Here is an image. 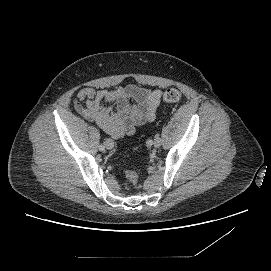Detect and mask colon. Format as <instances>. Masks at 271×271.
I'll return each instance as SVG.
<instances>
[{"instance_id":"1","label":"colon","mask_w":271,"mask_h":271,"mask_svg":"<svg viewBox=\"0 0 271 271\" xmlns=\"http://www.w3.org/2000/svg\"><path fill=\"white\" fill-rule=\"evenodd\" d=\"M180 98L181 93L176 89H168L163 95V100L167 103H176ZM124 176L134 186L139 182V175L135 171H124Z\"/></svg>"}]
</instances>
